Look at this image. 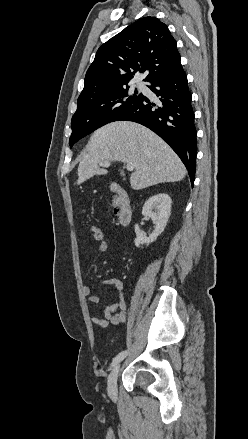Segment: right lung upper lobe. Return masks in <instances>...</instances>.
<instances>
[{
	"label": "right lung upper lobe",
	"instance_id": "obj_1",
	"mask_svg": "<svg viewBox=\"0 0 248 439\" xmlns=\"http://www.w3.org/2000/svg\"><path fill=\"white\" fill-rule=\"evenodd\" d=\"M181 66L177 43L164 23L144 17L104 43L85 76L78 106L128 87L136 72L151 82Z\"/></svg>",
	"mask_w": 248,
	"mask_h": 439
}]
</instances>
